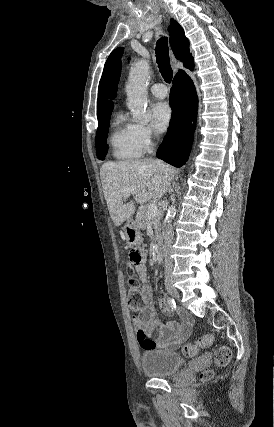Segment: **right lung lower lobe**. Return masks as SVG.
I'll return each instance as SVG.
<instances>
[{
	"instance_id": "obj_1",
	"label": "right lung lower lobe",
	"mask_w": 274,
	"mask_h": 427,
	"mask_svg": "<svg viewBox=\"0 0 274 427\" xmlns=\"http://www.w3.org/2000/svg\"><path fill=\"white\" fill-rule=\"evenodd\" d=\"M187 68L192 70L193 64ZM170 106L172 119L156 155L165 162L180 167L189 156L194 131L192 121H195L197 111L196 90L191 78L184 71H180L173 80Z\"/></svg>"
}]
</instances>
